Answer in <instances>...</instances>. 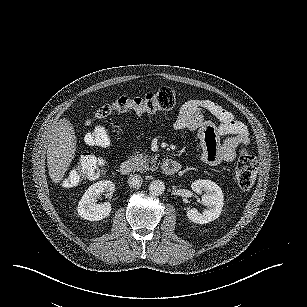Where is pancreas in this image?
I'll return each mask as SVG.
<instances>
[{"label": "pancreas", "instance_id": "pancreas-1", "mask_svg": "<svg viewBox=\"0 0 307 307\" xmlns=\"http://www.w3.org/2000/svg\"><path fill=\"white\" fill-rule=\"evenodd\" d=\"M130 160L134 170L142 173L148 170H155L157 156H149L148 154L136 153L131 157Z\"/></svg>", "mask_w": 307, "mask_h": 307}]
</instances>
